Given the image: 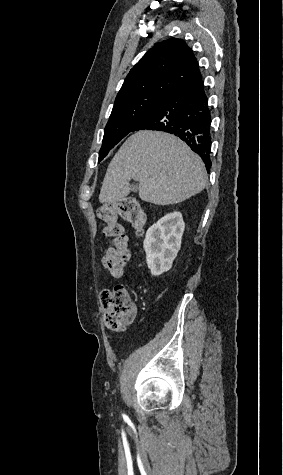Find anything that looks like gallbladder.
I'll use <instances>...</instances> for the list:
<instances>
[{"mask_svg":"<svg viewBox=\"0 0 283 475\" xmlns=\"http://www.w3.org/2000/svg\"><path fill=\"white\" fill-rule=\"evenodd\" d=\"M131 192H137V186H134V184L131 186Z\"/></svg>","mask_w":283,"mask_h":475,"instance_id":"gallbladder-1","label":"gallbladder"}]
</instances>
